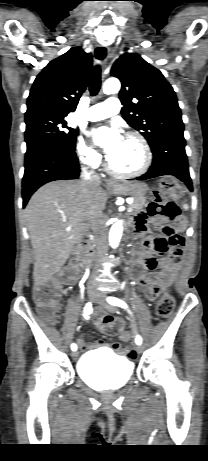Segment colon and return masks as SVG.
<instances>
[{
  "label": "colon",
  "mask_w": 208,
  "mask_h": 461,
  "mask_svg": "<svg viewBox=\"0 0 208 461\" xmlns=\"http://www.w3.org/2000/svg\"><path fill=\"white\" fill-rule=\"evenodd\" d=\"M179 193V185L172 178H164L161 180L157 189L151 194L150 216L156 219L168 221L182 220L179 207L172 201L171 197ZM60 294V283L50 281L43 285H38L33 290V300L37 305L39 312L50 322H54L58 307V298ZM175 309L174 297L165 292L160 297L157 304V314L163 319H169ZM123 353L130 359L136 360L138 353L136 348L130 347L128 343L123 346Z\"/></svg>",
  "instance_id": "colon-1"
}]
</instances>
